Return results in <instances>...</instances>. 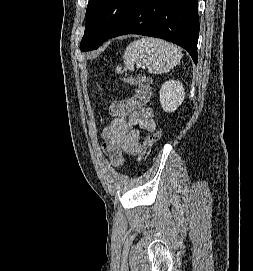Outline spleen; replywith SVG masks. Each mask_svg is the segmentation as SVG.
<instances>
[{
	"label": "spleen",
	"instance_id": "spleen-1",
	"mask_svg": "<svg viewBox=\"0 0 253 271\" xmlns=\"http://www.w3.org/2000/svg\"><path fill=\"white\" fill-rule=\"evenodd\" d=\"M182 58L181 49L169 42L155 38L133 41L126 48L123 60L125 70H134L135 64L147 67L149 73L164 74L178 65ZM117 73L122 68L117 66Z\"/></svg>",
	"mask_w": 253,
	"mask_h": 271
}]
</instances>
